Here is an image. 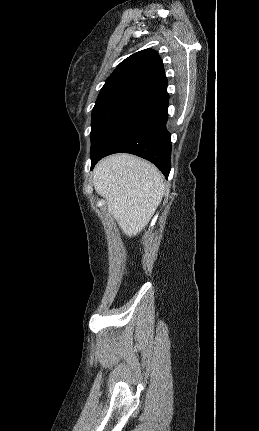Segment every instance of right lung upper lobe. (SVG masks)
<instances>
[{
    "mask_svg": "<svg viewBox=\"0 0 259 431\" xmlns=\"http://www.w3.org/2000/svg\"><path fill=\"white\" fill-rule=\"evenodd\" d=\"M128 82H139L151 91L167 85L162 60L155 50L145 49L123 60L107 78L101 91L114 89Z\"/></svg>",
    "mask_w": 259,
    "mask_h": 431,
    "instance_id": "cb5924a9",
    "label": "right lung upper lobe"
}]
</instances>
